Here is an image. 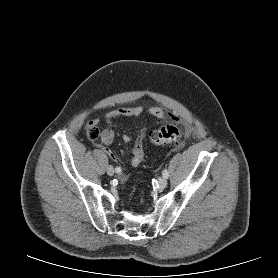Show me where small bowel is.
I'll return each instance as SVG.
<instances>
[{
    "instance_id": "c3829d8e",
    "label": "small bowel",
    "mask_w": 278,
    "mask_h": 278,
    "mask_svg": "<svg viewBox=\"0 0 278 278\" xmlns=\"http://www.w3.org/2000/svg\"><path fill=\"white\" fill-rule=\"evenodd\" d=\"M143 111H144V109L141 106H134V107L117 108V109L111 110L108 113H106L104 120H105V123L107 126L101 134L100 146L112 159H115L114 153L109 148V146L112 144L114 137H115L114 131L111 129L112 122L115 119L121 118V117H124V118L138 117L143 113ZM148 114L151 117L157 118V119H162L165 117V112L159 107L149 108ZM97 123H98V120H93L89 123V126L97 124ZM143 138H144V132L137 131L136 139H135L134 145L132 147L131 158H130V164L133 167L139 166L141 164V162L143 161V158L145 155L144 146H143ZM122 139L125 143H128L131 141V136L129 134H124ZM120 178L122 180H125L127 178V175L121 174Z\"/></svg>"
}]
</instances>
